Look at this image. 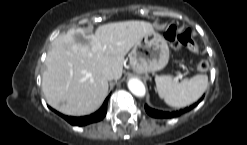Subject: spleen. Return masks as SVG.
<instances>
[{"label":"spleen","mask_w":247,"mask_h":145,"mask_svg":"<svg viewBox=\"0 0 247 145\" xmlns=\"http://www.w3.org/2000/svg\"><path fill=\"white\" fill-rule=\"evenodd\" d=\"M156 88L160 98L172 107L182 108L197 101L208 87L207 75H196L178 82L171 75L155 77Z\"/></svg>","instance_id":"obj_1"}]
</instances>
